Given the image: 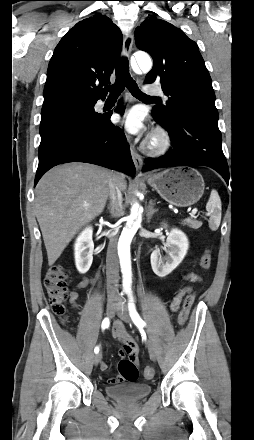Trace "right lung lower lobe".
I'll return each mask as SVG.
<instances>
[{
    "label": "right lung lower lobe",
    "instance_id": "98d812e1",
    "mask_svg": "<svg viewBox=\"0 0 254 440\" xmlns=\"http://www.w3.org/2000/svg\"><path fill=\"white\" fill-rule=\"evenodd\" d=\"M98 99H92L93 106ZM115 111L124 112L122 106ZM110 116L96 113L75 118L42 139L34 186L49 169L68 162H86L135 175L124 132L110 122Z\"/></svg>",
    "mask_w": 254,
    "mask_h": 440
}]
</instances>
